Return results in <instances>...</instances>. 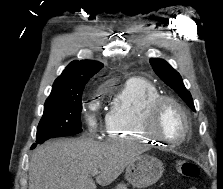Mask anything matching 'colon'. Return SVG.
Returning a JSON list of instances; mask_svg holds the SVG:
<instances>
[{"mask_svg": "<svg viewBox=\"0 0 223 189\" xmlns=\"http://www.w3.org/2000/svg\"><path fill=\"white\" fill-rule=\"evenodd\" d=\"M177 171L184 177L195 179L199 175L198 166L189 161L179 160L176 164ZM190 189H197L196 187H191Z\"/></svg>", "mask_w": 223, "mask_h": 189, "instance_id": "1", "label": "colon"}]
</instances>
